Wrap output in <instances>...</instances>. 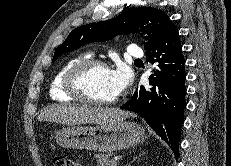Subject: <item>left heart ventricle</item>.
I'll return each mask as SVG.
<instances>
[{
	"mask_svg": "<svg viewBox=\"0 0 231 166\" xmlns=\"http://www.w3.org/2000/svg\"><path fill=\"white\" fill-rule=\"evenodd\" d=\"M82 86L95 99L110 100L117 96L111 84L110 70L104 68H94L87 72L82 78Z\"/></svg>",
	"mask_w": 231,
	"mask_h": 166,
	"instance_id": "1",
	"label": "left heart ventricle"
}]
</instances>
